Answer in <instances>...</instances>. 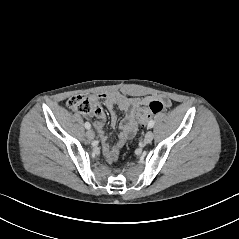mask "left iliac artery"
Wrapping results in <instances>:
<instances>
[{
  "instance_id": "obj_1",
  "label": "left iliac artery",
  "mask_w": 239,
  "mask_h": 239,
  "mask_svg": "<svg viewBox=\"0 0 239 239\" xmlns=\"http://www.w3.org/2000/svg\"><path fill=\"white\" fill-rule=\"evenodd\" d=\"M154 120H150L148 123V128H152L154 126Z\"/></svg>"
}]
</instances>
